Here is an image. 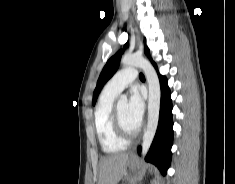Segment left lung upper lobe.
I'll return each instance as SVG.
<instances>
[{
    "mask_svg": "<svg viewBox=\"0 0 235 184\" xmlns=\"http://www.w3.org/2000/svg\"><path fill=\"white\" fill-rule=\"evenodd\" d=\"M145 43V54L150 58V51L146 46V40H144ZM128 44L125 45L127 47ZM122 51H118L115 55H113L104 66L98 81L97 86L93 93V105H95L97 97L99 95V92L101 91L104 84L114 75V73L117 71L121 59Z\"/></svg>",
    "mask_w": 235,
    "mask_h": 184,
    "instance_id": "obj_1",
    "label": "left lung upper lobe"
}]
</instances>
